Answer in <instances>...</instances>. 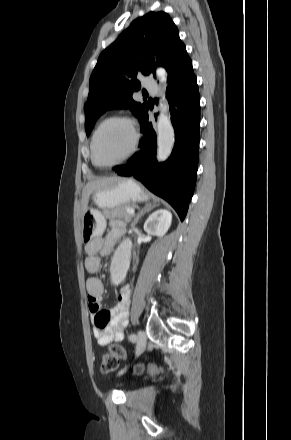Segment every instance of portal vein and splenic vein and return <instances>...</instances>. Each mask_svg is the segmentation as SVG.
<instances>
[{"instance_id": "portal-vein-and-splenic-vein-1", "label": "portal vein and splenic vein", "mask_w": 291, "mask_h": 440, "mask_svg": "<svg viewBox=\"0 0 291 440\" xmlns=\"http://www.w3.org/2000/svg\"><path fill=\"white\" fill-rule=\"evenodd\" d=\"M126 211L130 215H134V213H135V210L133 208H127Z\"/></svg>"}]
</instances>
